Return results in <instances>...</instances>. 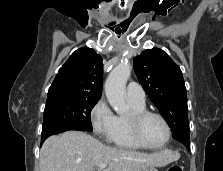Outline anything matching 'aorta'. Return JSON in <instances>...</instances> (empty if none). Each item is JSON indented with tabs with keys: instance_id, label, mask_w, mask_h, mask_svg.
Masks as SVG:
<instances>
[{
	"instance_id": "aorta-1",
	"label": "aorta",
	"mask_w": 223,
	"mask_h": 171,
	"mask_svg": "<svg viewBox=\"0 0 223 171\" xmlns=\"http://www.w3.org/2000/svg\"><path fill=\"white\" fill-rule=\"evenodd\" d=\"M130 74V64L122 61L111 71L105 83L107 100L117 114H124L129 110L125 102V87Z\"/></svg>"
}]
</instances>
